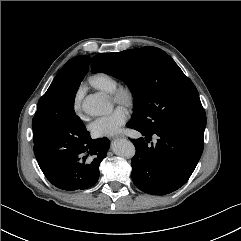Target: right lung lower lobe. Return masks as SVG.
Masks as SVG:
<instances>
[{
    "label": "right lung lower lobe",
    "mask_w": 241,
    "mask_h": 241,
    "mask_svg": "<svg viewBox=\"0 0 241 241\" xmlns=\"http://www.w3.org/2000/svg\"><path fill=\"white\" fill-rule=\"evenodd\" d=\"M34 153L46 178L59 189L74 191L92 187L99 178V165L110 142L92 140L88 133L76 146L52 150L33 133Z\"/></svg>",
    "instance_id": "98d812e1"
}]
</instances>
